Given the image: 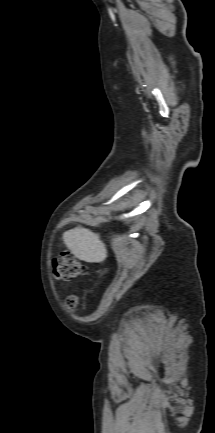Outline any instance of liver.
Returning <instances> with one entry per match:
<instances>
[{
  "instance_id": "obj_1",
  "label": "liver",
  "mask_w": 215,
  "mask_h": 433,
  "mask_svg": "<svg viewBox=\"0 0 215 433\" xmlns=\"http://www.w3.org/2000/svg\"><path fill=\"white\" fill-rule=\"evenodd\" d=\"M63 240L67 248L79 260L100 263L107 258L106 245L100 239L99 234L89 229L78 227L68 230L64 232Z\"/></svg>"
}]
</instances>
